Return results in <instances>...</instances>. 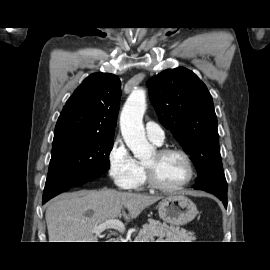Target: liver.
Returning <instances> with one entry per match:
<instances>
[{
  "label": "liver",
  "instance_id": "1",
  "mask_svg": "<svg viewBox=\"0 0 270 270\" xmlns=\"http://www.w3.org/2000/svg\"><path fill=\"white\" fill-rule=\"evenodd\" d=\"M160 199L113 189L62 194L46 209L49 242H97L96 226L121 216L130 221Z\"/></svg>",
  "mask_w": 270,
  "mask_h": 270
}]
</instances>
